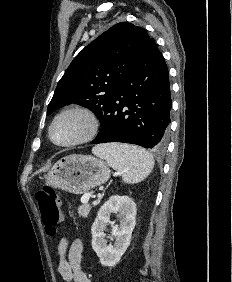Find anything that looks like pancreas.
<instances>
[{
	"mask_svg": "<svg viewBox=\"0 0 232 282\" xmlns=\"http://www.w3.org/2000/svg\"><path fill=\"white\" fill-rule=\"evenodd\" d=\"M90 210L91 206L88 203H84L78 208V214L86 219L89 215Z\"/></svg>",
	"mask_w": 232,
	"mask_h": 282,
	"instance_id": "1",
	"label": "pancreas"
}]
</instances>
